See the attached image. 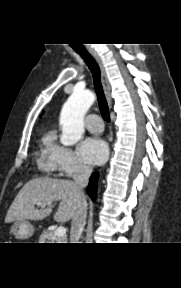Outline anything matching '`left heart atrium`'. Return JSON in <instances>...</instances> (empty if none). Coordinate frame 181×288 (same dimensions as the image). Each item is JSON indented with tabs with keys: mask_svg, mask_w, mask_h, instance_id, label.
I'll return each mask as SVG.
<instances>
[{
	"mask_svg": "<svg viewBox=\"0 0 181 288\" xmlns=\"http://www.w3.org/2000/svg\"><path fill=\"white\" fill-rule=\"evenodd\" d=\"M82 158L91 164H100L108 155V147L104 140L98 137H88L79 145Z\"/></svg>",
	"mask_w": 181,
	"mask_h": 288,
	"instance_id": "39dd6f15",
	"label": "left heart atrium"
}]
</instances>
